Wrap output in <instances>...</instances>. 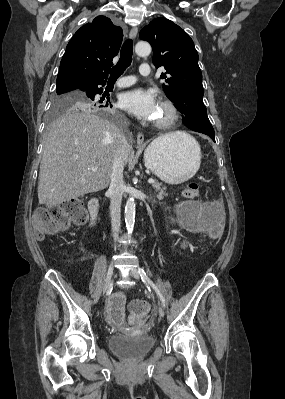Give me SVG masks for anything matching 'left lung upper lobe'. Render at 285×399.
Here are the masks:
<instances>
[{"mask_svg":"<svg viewBox=\"0 0 285 399\" xmlns=\"http://www.w3.org/2000/svg\"><path fill=\"white\" fill-rule=\"evenodd\" d=\"M140 38L153 48V63L163 66L166 96L175 103L184 124L193 131L214 135L203 103L202 73L193 40L165 18H156L140 31Z\"/></svg>","mask_w":285,"mask_h":399,"instance_id":"obj_1","label":"left lung upper lobe"}]
</instances>
